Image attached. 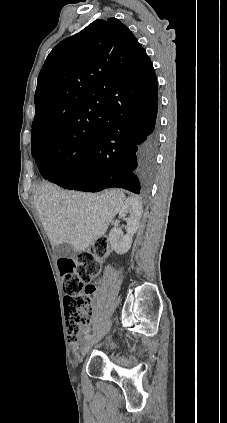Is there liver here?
I'll list each match as a JSON object with an SVG mask.
<instances>
[{
    "mask_svg": "<svg viewBox=\"0 0 227 423\" xmlns=\"http://www.w3.org/2000/svg\"><path fill=\"white\" fill-rule=\"evenodd\" d=\"M124 200L121 190L83 194L47 182L37 188L34 204L52 247L68 243L75 251H85L105 235Z\"/></svg>",
    "mask_w": 227,
    "mask_h": 423,
    "instance_id": "1",
    "label": "liver"
}]
</instances>
